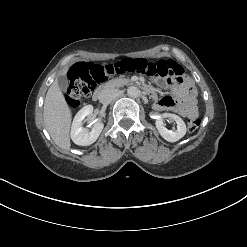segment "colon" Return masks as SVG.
<instances>
[{"label": "colon", "mask_w": 247, "mask_h": 247, "mask_svg": "<svg viewBox=\"0 0 247 247\" xmlns=\"http://www.w3.org/2000/svg\"><path fill=\"white\" fill-rule=\"evenodd\" d=\"M146 64L143 58H127L111 64H94L78 62L68 71V88L66 102L71 108L79 106L82 99L89 96L98 83L110 76L126 72H138ZM201 125L200 118H192L188 122V130L195 131Z\"/></svg>", "instance_id": "1"}]
</instances>
